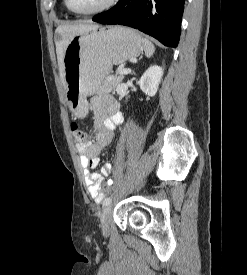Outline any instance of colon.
Returning <instances> with one entry per match:
<instances>
[{
	"mask_svg": "<svg viewBox=\"0 0 247 275\" xmlns=\"http://www.w3.org/2000/svg\"><path fill=\"white\" fill-rule=\"evenodd\" d=\"M72 134L74 140L78 143L81 144L85 140L86 134L83 130H81L77 123H72ZM113 189V184L111 182H107L103 185V192L105 194H108L112 191Z\"/></svg>",
	"mask_w": 247,
	"mask_h": 275,
	"instance_id": "5ec220e1",
	"label": "colon"
}]
</instances>
